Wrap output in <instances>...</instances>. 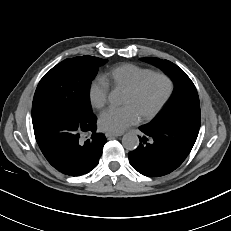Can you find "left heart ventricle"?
I'll use <instances>...</instances> for the list:
<instances>
[{
  "mask_svg": "<svg viewBox=\"0 0 231 231\" xmlns=\"http://www.w3.org/2000/svg\"><path fill=\"white\" fill-rule=\"evenodd\" d=\"M168 90V82L163 77L149 79L136 94L125 93L123 105L134 107L138 115L153 110L164 98Z\"/></svg>",
  "mask_w": 231,
  "mask_h": 231,
  "instance_id": "1",
  "label": "left heart ventricle"
}]
</instances>
